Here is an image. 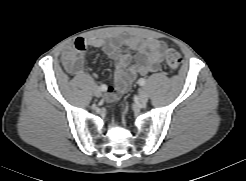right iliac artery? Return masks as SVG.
<instances>
[{
    "instance_id": "1",
    "label": "right iliac artery",
    "mask_w": 246,
    "mask_h": 181,
    "mask_svg": "<svg viewBox=\"0 0 246 181\" xmlns=\"http://www.w3.org/2000/svg\"><path fill=\"white\" fill-rule=\"evenodd\" d=\"M100 89H101V91H105L106 90V86L105 85H101Z\"/></svg>"
}]
</instances>
